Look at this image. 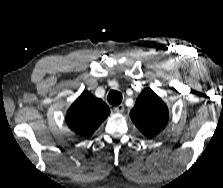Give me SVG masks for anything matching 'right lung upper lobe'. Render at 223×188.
I'll use <instances>...</instances> for the list:
<instances>
[{
    "mask_svg": "<svg viewBox=\"0 0 223 188\" xmlns=\"http://www.w3.org/2000/svg\"><path fill=\"white\" fill-rule=\"evenodd\" d=\"M109 114L105 102L84 91L68 109L66 123L75 134L88 138Z\"/></svg>",
    "mask_w": 223,
    "mask_h": 188,
    "instance_id": "obj_1",
    "label": "right lung upper lobe"
}]
</instances>
